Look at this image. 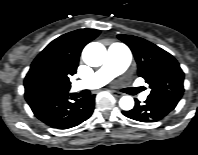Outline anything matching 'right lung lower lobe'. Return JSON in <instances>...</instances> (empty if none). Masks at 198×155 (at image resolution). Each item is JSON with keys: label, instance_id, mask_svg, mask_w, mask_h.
<instances>
[{"label": "right lung lower lobe", "instance_id": "1", "mask_svg": "<svg viewBox=\"0 0 198 155\" xmlns=\"http://www.w3.org/2000/svg\"><path fill=\"white\" fill-rule=\"evenodd\" d=\"M95 95L79 98L76 93L43 98L29 103L35 116L57 129H68L87 120L94 110Z\"/></svg>", "mask_w": 198, "mask_h": 155}]
</instances>
